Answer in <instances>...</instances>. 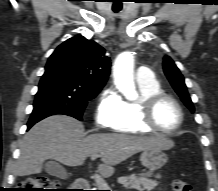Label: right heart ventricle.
Segmentation results:
<instances>
[{
	"label": "right heart ventricle",
	"instance_id": "right-heart-ventricle-1",
	"mask_svg": "<svg viewBox=\"0 0 218 191\" xmlns=\"http://www.w3.org/2000/svg\"><path fill=\"white\" fill-rule=\"evenodd\" d=\"M140 92L139 99L135 101H122L120 115L113 129L124 134L142 135L152 132L141 120L140 101L143 97L161 92L160 84L154 80L148 83H137Z\"/></svg>",
	"mask_w": 218,
	"mask_h": 191
}]
</instances>
